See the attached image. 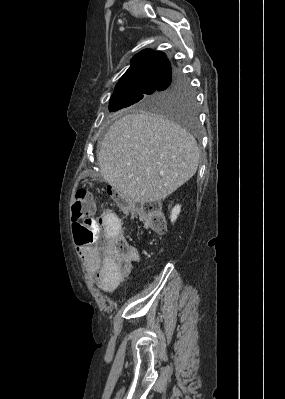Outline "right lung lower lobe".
<instances>
[{
    "instance_id": "98d812e1",
    "label": "right lung lower lobe",
    "mask_w": 285,
    "mask_h": 399,
    "mask_svg": "<svg viewBox=\"0 0 285 399\" xmlns=\"http://www.w3.org/2000/svg\"><path fill=\"white\" fill-rule=\"evenodd\" d=\"M182 77V75L179 73V71L173 69L170 67V69L167 71L166 75L164 76L162 82L160 85H164L167 83H170L178 78Z\"/></svg>"
}]
</instances>
